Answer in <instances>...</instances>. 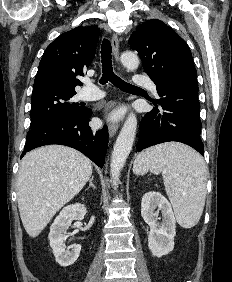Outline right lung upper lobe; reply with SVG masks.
<instances>
[{
  "mask_svg": "<svg viewBox=\"0 0 232 282\" xmlns=\"http://www.w3.org/2000/svg\"><path fill=\"white\" fill-rule=\"evenodd\" d=\"M99 36L97 26H78L56 38L45 50L36 74L33 92L49 89L75 91L83 70L90 66Z\"/></svg>",
  "mask_w": 232,
  "mask_h": 282,
  "instance_id": "1",
  "label": "right lung upper lobe"
}]
</instances>
